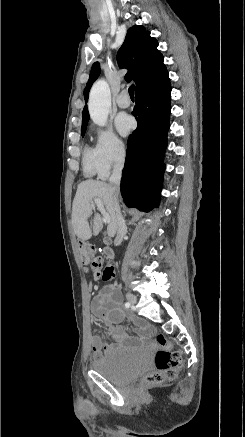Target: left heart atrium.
Instances as JSON below:
<instances>
[{"instance_id": "1", "label": "left heart atrium", "mask_w": 245, "mask_h": 437, "mask_svg": "<svg viewBox=\"0 0 245 437\" xmlns=\"http://www.w3.org/2000/svg\"><path fill=\"white\" fill-rule=\"evenodd\" d=\"M115 124L122 135H127L132 129L133 121L129 115L122 113L117 116Z\"/></svg>"}]
</instances>
